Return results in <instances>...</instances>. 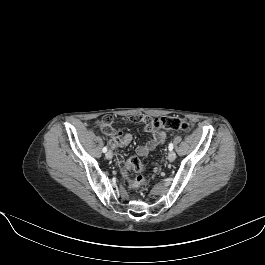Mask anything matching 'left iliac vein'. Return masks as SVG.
Wrapping results in <instances>:
<instances>
[{
  "instance_id": "4c4485c4",
  "label": "left iliac vein",
  "mask_w": 265,
  "mask_h": 265,
  "mask_svg": "<svg viewBox=\"0 0 265 265\" xmlns=\"http://www.w3.org/2000/svg\"><path fill=\"white\" fill-rule=\"evenodd\" d=\"M175 158H176V154H175V152L170 151L169 154H168V160H169L170 162H173V161L175 160Z\"/></svg>"
}]
</instances>
